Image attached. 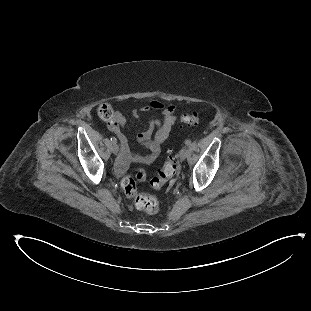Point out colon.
<instances>
[{
  "label": "colon",
  "mask_w": 311,
  "mask_h": 311,
  "mask_svg": "<svg viewBox=\"0 0 311 311\" xmlns=\"http://www.w3.org/2000/svg\"><path fill=\"white\" fill-rule=\"evenodd\" d=\"M98 115L101 118H110L114 115L112 109L103 104L98 107ZM201 122L199 113H184L180 117V123L186 126H197ZM179 171V165L174 156L169 155L165 163L159 170L157 176L151 179L150 185L154 190L162 189L168 181L173 178ZM140 178H145L144 171L139 173ZM121 188L124 195L133 200L135 206L146 213H155L159 209V200L151 195L144 194L138 190V184L130 174L125 175L121 181Z\"/></svg>",
  "instance_id": "5ec220e1"
}]
</instances>
